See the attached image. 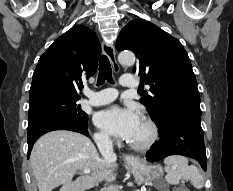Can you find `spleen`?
<instances>
[{"label": "spleen", "instance_id": "1", "mask_svg": "<svg viewBox=\"0 0 233 191\" xmlns=\"http://www.w3.org/2000/svg\"><path fill=\"white\" fill-rule=\"evenodd\" d=\"M165 179L167 183L177 185L181 180H189L197 189L204 185L203 176L194 165H188L187 158L183 156H169L164 160Z\"/></svg>", "mask_w": 233, "mask_h": 191}]
</instances>
